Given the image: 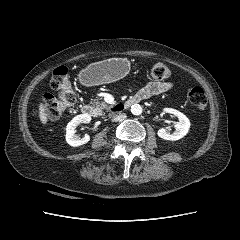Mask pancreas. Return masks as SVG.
Segmentation results:
<instances>
[{"mask_svg":"<svg viewBox=\"0 0 240 240\" xmlns=\"http://www.w3.org/2000/svg\"><path fill=\"white\" fill-rule=\"evenodd\" d=\"M92 105L94 107H96L100 112L103 109H107L108 110L111 107L107 103H105L104 101H98V100L93 101Z\"/></svg>","mask_w":240,"mask_h":240,"instance_id":"1","label":"pancreas"}]
</instances>
